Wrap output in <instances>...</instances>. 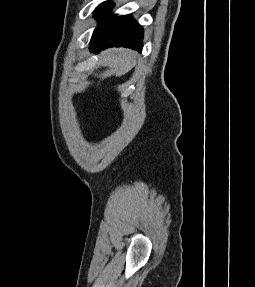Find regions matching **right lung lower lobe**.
Returning a JSON list of instances; mask_svg holds the SVG:
<instances>
[{"label":"right lung lower lobe","mask_w":255,"mask_h":287,"mask_svg":"<svg viewBox=\"0 0 255 287\" xmlns=\"http://www.w3.org/2000/svg\"><path fill=\"white\" fill-rule=\"evenodd\" d=\"M143 29L131 16H113L94 31L90 50L97 53L108 47H128L141 52Z\"/></svg>","instance_id":"right-lung-lower-lobe-1"}]
</instances>
